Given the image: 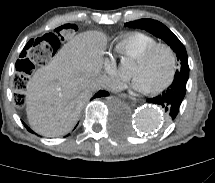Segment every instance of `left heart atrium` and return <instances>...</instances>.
<instances>
[{
	"label": "left heart atrium",
	"mask_w": 215,
	"mask_h": 183,
	"mask_svg": "<svg viewBox=\"0 0 215 183\" xmlns=\"http://www.w3.org/2000/svg\"><path fill=\"white\" fill-rule=\"evenodd\" d=\"M132 85L139 91H146L147 88L139 77H133Z\"/></svg>",
	"instance_id": "39dd6f15"
}]
</instances>
